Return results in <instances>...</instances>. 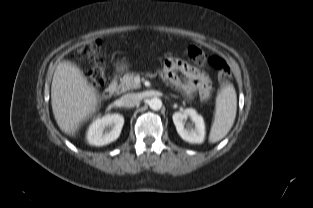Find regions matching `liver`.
<instances>
[{
    "label": "liver",
    "instance_id": "1",
    "mask_svg": "<svg viewBox=\"0 0 313 208\" xmlns=\"http://www.w3.org/2000/svg\"><path fill=\"white\" fill-rule=\"evenodd\" d=\"M51 104L60 129L72 135L96 111L97 97L83 72L71 62L57 65L51 86Z\"/></svg>",
    "mask_w": 313,
    "mask_h": 208
}]
</instances>
